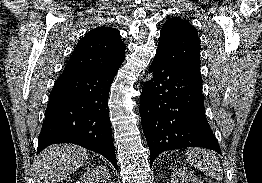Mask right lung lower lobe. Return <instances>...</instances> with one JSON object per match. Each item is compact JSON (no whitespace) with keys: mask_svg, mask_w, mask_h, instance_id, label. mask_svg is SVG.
I'll return each instance as SVG.
<instances>
[{"mask_svg":"<svg viewBox=\"0 0 262 183\" xmlns=\"http://www.w3.org/2000/svg\"><path fill=\"white\" fill-rule=\"evenodd\" d=\"M118 69L62 73L49 96L38 150L73 143L107 158L118 170L108 113V94Z\"/></svg>","mask_w":262,"mask_h":183,"instance_id":"obj_1","label":"right lung lower lobe"}]
</instances>
